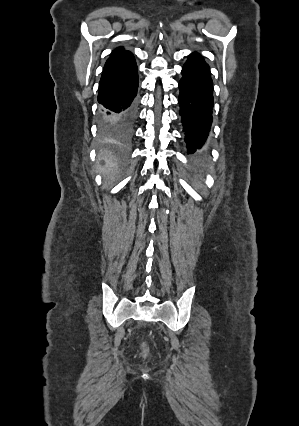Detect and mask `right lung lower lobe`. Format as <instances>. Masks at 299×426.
<instances>
[{"mask_svg": "<svg viewBox=\"0 0 299 426\" xmlns=\"http://www.w3.org/2000/svg\"><path fill=\"white\" fill-rule=\"evenodd\" d=\"M138 73L134 56L128 52L110 57L99 82L100 125L112 136L131 135L137 116Z\"/></svg>", "mask_w": 299, "mask_h": 426, "instance_id": "obj_1", "label": "right lung lower lobe"}]
</instances>
